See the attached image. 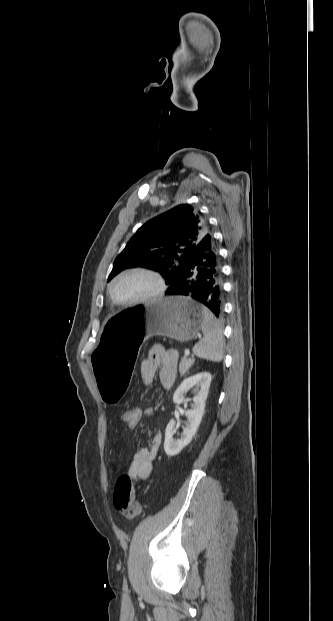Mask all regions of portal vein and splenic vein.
<instances>
[{"mask_svg":"<svg viewBox=\"0 0 333 621\" xmlns=\"http://www.w3.org/2000/svg\"><path fill=\"white\" fill-rule=\"evenodd\" d=\"M184 354H185V356H188L190 354V351L188 349H186Z\"/></svg>","mask_w":333,"mask_h":621,"instance_id":"18ae733b","label":"portal vein and splenic vein"}]
</instances>
